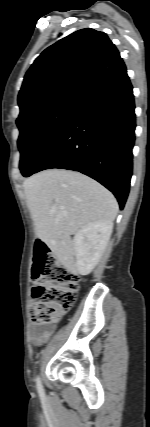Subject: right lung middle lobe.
I'll use <instances>...</instances> for the list:
<instances>
[{"instance_id": "right-lung-middle-lobe-1", "label": "right lung middle lobe", "mask_w": 150, "mask_h": 427, "mask_svg": "<svg viewBox=\"0 0 150 427\" xmlns=\"http://www.w3.org/2000/svg\"><path fill=\"white\" fill-rule=\"evenodd\" d=\"M79 106L56 104L36 108L16 121L20 130L18 148L23 176L34 173L50 148L68 127Z\"/></svg>"}]
</instances>
